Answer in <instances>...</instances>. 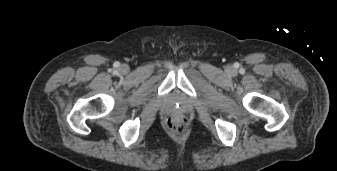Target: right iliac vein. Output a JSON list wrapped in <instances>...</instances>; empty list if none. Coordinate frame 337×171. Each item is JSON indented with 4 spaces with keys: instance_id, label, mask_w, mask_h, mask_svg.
Wrapping results in <instances>:
<instances>
[{
    "instance_id": "63e3f726",
    "label": "right iliac vein",
    "mask_w": 337,
    "mask_h": 171,
    "mask_svg": "<svg viewBox=\"0 0 337 171\" xmlns=\"http://www.w3.org/2000/svg\"><path fill=\"white\" fill-rule=\"evenodd\" d=\"M120 70H121L123 73H126L129 69H128V66H127V65H121Z\"/></svg>"
}]
</instances>
